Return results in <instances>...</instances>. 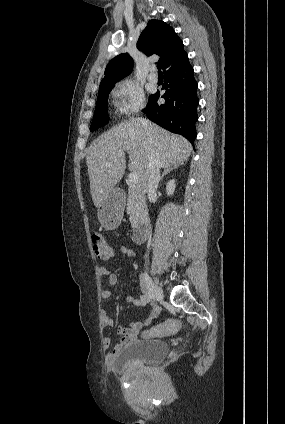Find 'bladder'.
<instances>
[{"label":"bladder","instance_id":"1","mask_svg":"<svg viewBox=\"0 0 285 424\" xmlns=\"http://www.w3.org/2000/svg\"><path fill=\"white\" fill-rule=\"evenodd\" d=\"M169 352V346L162 340H139L122 348L114 358L112 366L117 370H127L135 363L157 364Z\"/></svg>","mask_w":285,"mask_h":424}]
</instances>
